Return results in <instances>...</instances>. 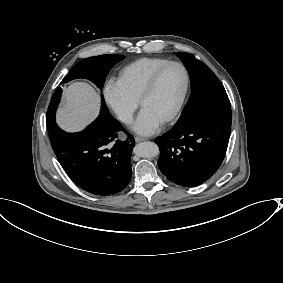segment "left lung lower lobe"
<instances>
[{"instance_id": "1", "label": "left lung lower lobe", "mask_w": 283, "mask_h": 283, "mask_svg": "<svg viewBox=\"0 0 283 283\" xmlns=\"http://www.w3.org/2000/svg\"><path fill=\"white\" fill-rule=\"evenodd\" d=\"M231 110L203 113L155 139L158 166L166 178L184 187L208 180L220 167L229 142Z\"/></svg>"}]
</instances>
